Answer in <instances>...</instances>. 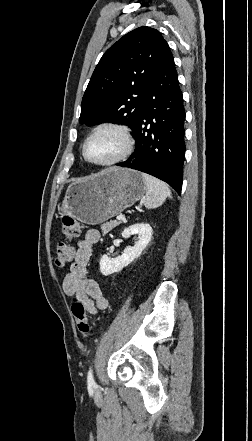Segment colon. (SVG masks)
<instances>
[{"mask_svg":"<svg viewBox=\"0 0 252 441\" xmlns=\"http://www.w3.org/2000/svg\"><path fill=\"white\" fill-rule=\"evenodd\" d=\"M80 232L81 227L73 218L66 216L63 219V234L67 239H76L80 235ZM73 255L74 252L71 246L65 242H59L56 246V265L58 267H64L73 259ZM71 310L76 319L79 332L83 336H87L90 330V324L85 306L78 298L75 297Z\"/></svg>","mask_w":252,"mask_h":441,"instance_id":"5ec220e1","label":"colon"}]
</instances>
